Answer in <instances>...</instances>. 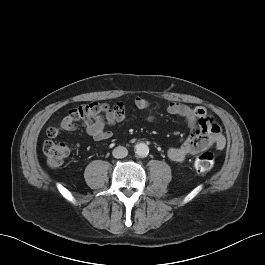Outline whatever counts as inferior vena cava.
Segmentation results:
<instances>
[{"instance_id":"obj_1","label":"inferior vena cava","mask_w":265,"mask_h":265,"mask_svg":"<svg viewBox=\"0 0 265 265\" xmlns=\"http://www.w3.org/2000/svg\"><path fill=\"white\" fill-rule=\"evenodd\" d=\"M112 154L117 159L124 158L128 155V150L123 146H118L113 149Z\"/></svg>"}]
</instances>
